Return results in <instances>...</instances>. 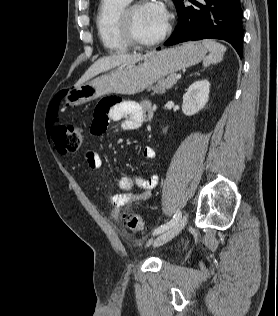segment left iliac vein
I'll return each instance as SVG.
<instances>
[{
    "label": "left iliac vein",
    "instance_id": "left-iliac-vein-1",
    "mask_svg": "<svg viewBox=\"0 0 278 316\" xmlns=\"http://www.w3.org/2000/svg\"><path fill=\"white\" fill-rule=\"evenodd\" d=\"M187 224V215H184L175 225L159 235L153 242L154 247L161 246L173 239Z\"/></svg>",
    "mask_w": 278,
    "mask_h": 316
}]
</instances>
